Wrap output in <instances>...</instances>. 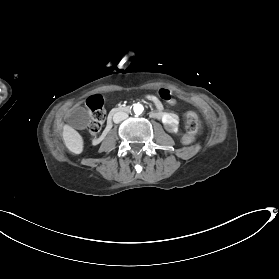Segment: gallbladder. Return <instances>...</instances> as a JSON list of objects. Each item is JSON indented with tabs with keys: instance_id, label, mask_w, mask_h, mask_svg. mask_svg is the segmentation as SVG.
<instances>
[{
	"instance_id": "bac80fb5",
	"label": "gallbladder",
	"mask_w": 279,
	"mask_h": 279,
	"mask_svg": "<svg viewBox=\"0 0 279 279\" xmlns=\"http://www.w3.org/2000/svg\"><path fill=\"white\" fill-rule=\"evenodd\" d=\"M69 117L72 126L85 127L91 117V110L89 108H82L80 111L73 109L70 111Z\"/></svg>"
}]
</instances>
